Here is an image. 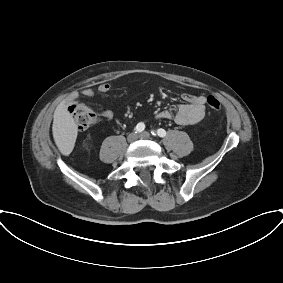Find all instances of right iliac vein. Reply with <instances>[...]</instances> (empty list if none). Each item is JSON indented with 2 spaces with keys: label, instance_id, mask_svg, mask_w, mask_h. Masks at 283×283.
Instances as JSON below:
<instances>
[{
  "label": "right iliac vein",
  "instance_id": "right-iliac-vein-1",
  "mask_svg": "<svg viewBox=\"0 0 283 283\" xmlns=\"http://www.w3.org/2000/svg\"><path fill=\"white\" fill-rule=\"evenodd\" d=\"M137 138H138L137 133L132 132L128 135L127 140H128V142L132 143V142L136 141Z\"/></svg>",
  "mask_w": 283,
  "mask_h": 283
}]
</instances>
